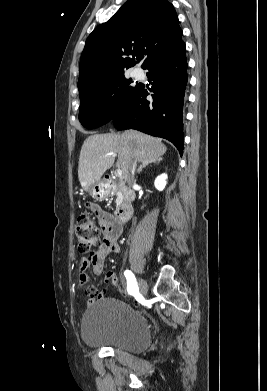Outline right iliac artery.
I'll use <instances>...</instances> for the list:
<instances>
[{
  "mask_svg": "<svg viewBox=\"0 0 267 391\" xmlns=\"http://www.w3.org/2000/svg\"><path fill=\"white\" fill-rule=\"evenodd\" d=\"M124 275L127 279L128 293L131 295L137 294L138 293V285H137V282H136V279H135L133 273L129 270H126L124 272Z\"/></svg>",
  "mask_w": 267,
  "mask_h": 391,
  "instance_id": "obj_1",
  "label": "right iliac artery"
}]
</instances>
